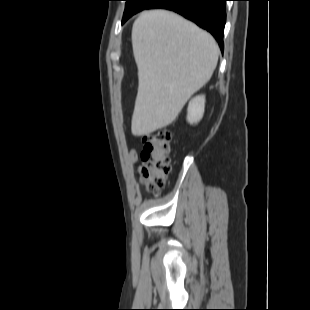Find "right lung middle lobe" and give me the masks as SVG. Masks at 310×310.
Segmentation results:
<instances>
[{"instance_id":"1","label":"right lung middle lobe","mask_w":310,"mask_h":310,"mask_svg":"<svg viewBox=\"0 0 310 310\" xmlns=\"http://www.w3.org/2000/svg\"><path fill=\"white\" fill-rule=\"evenodd\" d=\"M125 1L126 6L123 18L132 16L133 14L149 7L157 0H125Z\"/></svg>"}]
</instances>
